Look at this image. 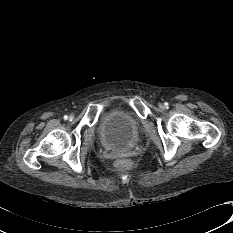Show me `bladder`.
<instances>
[{
	"instance_id": "1",
	"label": "bladder",
	"mask_w": 233,
	"mask_h": 233,
	"mask_svg": "<svg viewBox=\"0 0 233 233\" xmlns=\"http://www.w3.org/2000/svg\"><path fill=\"white\" fill-rule=\"evenodd\" d=\"M141 125L135 115L122 108L107 111L97 125L103 145L118 152L131 150L140 135Z\"/></svg>"
}]
</instances>
